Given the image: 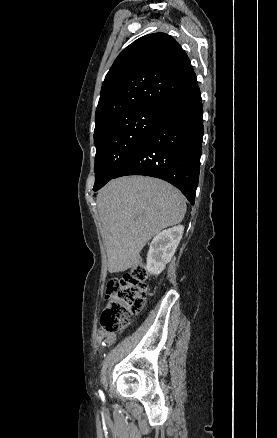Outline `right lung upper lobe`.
<instances>
[{"instance_id": "1", "label": "right lung upper lobe", "mask_w": 277, "mask_h": 438, "mask_svg": "<svg viewBox=\"0 0 277 438\" xmlns=\"http://www.w3.org/2000/svg\"><path fill=\"white\" fill-rule=\"evenodd\" d=\"M156 63L173 68L166 71ZM197 84L187 54L173 37L145 35L125 48L111 66L102 84L95 120L146 109L163 110L171 99Z\"/></svg>"}]
</instances>
